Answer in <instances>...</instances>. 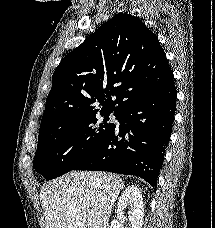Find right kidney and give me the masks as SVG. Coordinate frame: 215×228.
Masks as SVG:
<instances>
[{"label":"right kidney","instance_id":"ca27d5eb","mask_svg":"<svg viewBox=\"0 0 215 228\" xmlns=\"http://www.w3.org/2000/svg\"><path fill=\"white\" fill-rule=\"evenodd\" d=\"M117 210L121 212V214H125L126 210H129L128 220L131 224V228H142L144 202L141 190H139L137 186H128V188H125L117 202ZM122 220L123 222L113 220L109 228H122V224H124L126 218H122Z\"/></svg>","mask_w":215,"mask_h":228}]
</instances>
